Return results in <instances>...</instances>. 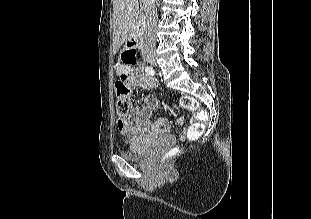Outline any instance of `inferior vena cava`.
<instances>
[{
  "label": "inferior vena cava",
  "mask_w": 311,
  "mask_h": 219,
  "mask_svg": "<svg viewBox=\"0 0 311 219\" xmlns=\"http://www.w3.org/2000/svg\"><path fill=\"white\" fill-rule=\"evenodd\" d=\"M146 16V30L143 41V52L153 51L155 48V26L157 23V10L155 0H142Z\"/></svg>",
  "instance_id": "inferior-vena-cava-1"
}]
</instances>
